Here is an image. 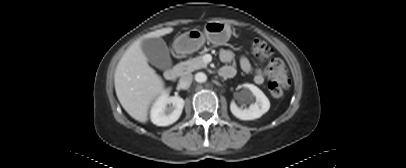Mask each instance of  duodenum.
<instances>
[{"label":"duodenum","instance_id":"1","mask_svg":"<svg viewBox=\"0 0 406 168\" xmlns=\"http://www.w3.org/2000/svg\"><path fill=\"white\" fill-rule=\"evenodd\" d=\"M179 68L178 67H171L168 68L165 72H164V77L166 78V80L168 81H176L179 75ZM222 75V74H221ZM223 76V75H222ZM225 77V76H224Z\"/></svg>","mask_w":406,"mask_h":168}]
</instances>
